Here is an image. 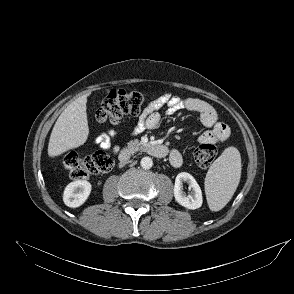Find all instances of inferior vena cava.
Segmentation results:
<instances>
[{"instance_id": "inferior-vena-cava-1", "label": "inferior vena cava", "mask_w": 294, "mask_h": 294, "mask_svg": "<svg viewBox=\"0 0 294 294\" xmlns=\"http://www.w3.org/2000/svg\"><path fill=\"white\" fill-rule=\"evenodd\" d=\"M126 162H127V159H122L121 158V163H120L121 165H124Z\"/></svg>"}]
</instances>
